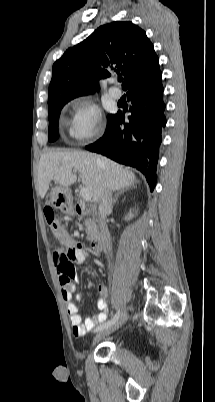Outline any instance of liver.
<instances>
[{
  "label": "liver",
  "instance_id": "6515ba94",
  "mask_svg": "<svg viewBox=\"0 0 215 402\" xmlns=\"http://www.w3.org/2000/svg\"><path fill=\"white\" fill-rule=\"evenodd\" d=\"M80 173L85 187L89 188L94 202H99L105 188L122 190L135 182V174L107 157L84 151H49L38 165V191L43 199L54 180L68 188Z\"/></svg>",
  "mask_w": 215,
  "mask_h": 402
}]
</instances>
